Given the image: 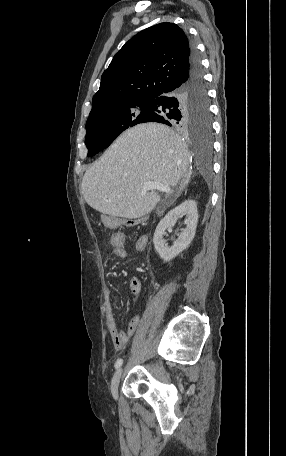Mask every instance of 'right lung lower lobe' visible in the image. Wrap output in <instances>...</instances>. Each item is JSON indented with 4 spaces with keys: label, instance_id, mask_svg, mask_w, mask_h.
<instances>
[{
    "label": "right lung lower lobe",
    "instance_id": "1",
    "mask_svg": "<svg viewBox=\"0 0 286 456\" xmlns=\"http://www.w3.org/2000/svg\"><path fill=\"white\" fill-rule=\"evenodd\" d=\"M152 114L146 122H159L174 128L193 129L210 118L207 90L198 54L194 47L185 82L148 99Z\"/></svg>",
    "mask_w": 286,
    "mask_h": 456
}]
</instances>
